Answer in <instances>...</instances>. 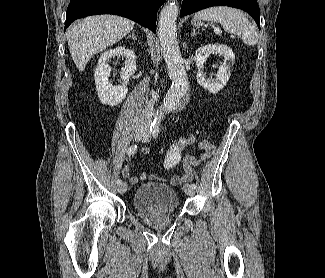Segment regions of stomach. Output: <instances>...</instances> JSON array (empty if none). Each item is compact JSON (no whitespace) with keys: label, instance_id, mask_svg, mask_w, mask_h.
<instances>
[{"label":"stomach","instance_id":"obj_1","mask_svg":"<svg viewBox=\"0 0 325 278\" xmlns=\"http://www.w3.org/2000/svg\"><path fill=\"white\" fill-rule=\"evenodd\" d=\"M192 23H194V24H199V21L196 20V19H193V20H192Z\"/></svg>","mask_w":325,"mask_h":278}]
</instances>
